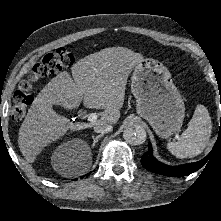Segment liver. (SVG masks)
Masks as SVG:
<instances>
[{
	"label": "liver",
	"instance_id": "6515ba94",
	"mask_svg": "<svg viewBox=\"0 0 221 221\" xmlns=\"http://www.w3.org/2000/svg\"><path fill=\"white\" fill-rule=\"evenodd\" d=\"M144 59L124 47H109L85 56L67 71L59 73L34 99L19 129L18 144L28 163H33L41 150L67 133L94 127L97 123L116 124L125 99L132 69ZM87 108L104 109L93 123H72L57 114L52 106L67 110L81 103Z\"/></svg>",
	"mask_w": 221,
	"mask_h": 221
}]
</instances>
